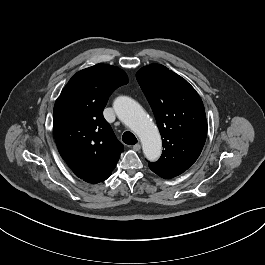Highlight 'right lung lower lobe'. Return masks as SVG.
Here are the masks:
<instances>
[{
  "label": "right lung lower lobe",
  "mask_w": 265,
  "mask_h": 265,
  "mask_svg": "<svg viewBox=\"0 0 265 265\" xmlns=\"http://www.w3.org/2000/svg\"><path fill=\"white\" fill-rule=\"evenodd\" d=\"M110 175H111V172L108 173L107 176H105L103 179H101V180H99V181H97V182H95V183H93V184H96V183H99V182H101V181H104V180L107 179Z\"/></svg>",
  "instance_id": "98d812e1"
}]
</instances>
